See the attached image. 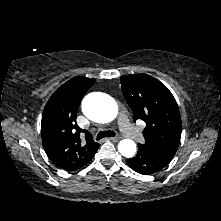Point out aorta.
Instances as JSON below:
<instances>
[{"label":"aorta","instance_id":"1","mask_svg":"<svg viewBox=\"0 0 221 221\" xmlns=\"http://www.w3.org/2000/svg\"><path fill=\"white\" fill-rule=\"evenodd\" d=\"M82 111L91 120L108 123L117 116L118 106L113 98L102 93H92L83 100ZM118 150L124 157L131 158L136 153V144L130 139H123L118 144Z\"/></svg>","mask_w":221,"mask_h":221}]
</instances>
